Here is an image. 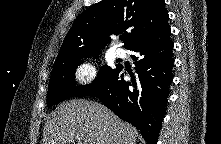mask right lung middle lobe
I'll list each match as a JSON object with an SVG mask.
<instances>
[{"label":"right lung middle lobe","mask_w":221,"mask_h":144,"mask_svg":"<svg viewBox=\"0 0 221 144\" xmlns=\"http://www.w3.org/2000/svg\"><path fill=\"white\" fill-rule=\"evenodd\" d=\"M82 62V60L71 61L53 67L47 93L48 107H52L54 104L71 96H85L107 81L116 70L103 66L97 78L91 84L76 87L74 82L75 70Z\"/></svg>","instance_id":"1"}]
</instances>
